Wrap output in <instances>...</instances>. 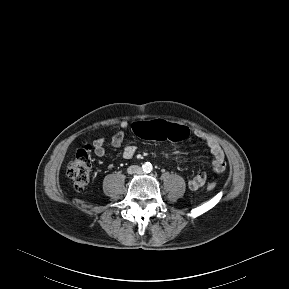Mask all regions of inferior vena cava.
Listing matches in <instances>:
<instances>
[{
    "instance_id": "inferior-vena-cava-1",
    "label": "inferior vena cava",
    "mask_w": 289,
    "mask_h": 289,
    "mask_svg": "<svg viewBox=\"0 0 289 289\" xmlns=\"http://www.w3.org/2000/svg\"><path fill=\"white\" fill-rule=\"evenodd\" d=\"M127 171L129 174H140L142 172V169L138 165H131Z\"/></svg>"
}]
</instances>
